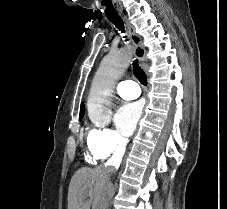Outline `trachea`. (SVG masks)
Here are the masks:
<instances>
[{"label":"trachea","mask_w":227,"mask_h":209,"mask_svg":"<svg viewBox=\"0 0 227 209\" xmlns=\"http://www.w3.org/2000/svg\"><path fill=\"white\" fill-rule=\"evenodd\" d=\"M106 16H107L108 20L110 22H112L116 28H118V30H120L122 33L125 32L124 22L121 19L120 15H118V13H116V12L108 13V14H106ZM125 38L127 40V37H125ZM132 65H133V73H134L135 77L139 80V82L142 85H147V75L139 67L138 60H134Z\"/></svg>","instance_id":"trachea-1"}]
</instances>
